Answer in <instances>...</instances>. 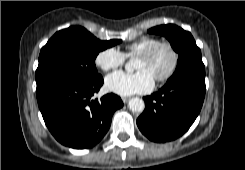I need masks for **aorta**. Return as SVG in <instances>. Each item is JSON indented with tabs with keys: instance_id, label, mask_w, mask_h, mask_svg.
<instances>
[{
	"instance_id": "1",
	"label": "aorta",
	"mask_w": 245,
	"mask_h": 170,
	"mask_svg": "<svg viewBox=\"0 0 245 170\" xmlns=\"http://www.w3.org/2000/svg\"><path fill=\"white\" fill-rule=\"evenodd\" d=\"M125 69L128 72H132L133 71L132 63L128 62L125 65ZM128 107L133 112H143V110L145 108V103L141 98L134 97V98L129 100Z\"/></svg>"
}]
</instances>
